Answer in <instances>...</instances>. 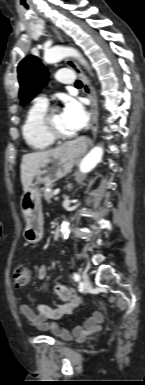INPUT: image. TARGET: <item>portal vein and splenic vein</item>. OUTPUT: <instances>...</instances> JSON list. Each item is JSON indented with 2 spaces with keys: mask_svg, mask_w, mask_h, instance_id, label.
Listing matches in <instances>:
<instances>
[{
  "mask_svg": "<svg viewBox=\"0 0 145 385\" xmlns=\"http://www.w3.org/2000/svg\"><path fill=\"white\" fill-rule=\"evenodd\" d=\"M59 192H60V189H56V190H54L53 195L57 196L59 194Z\"/></svg>",
  "mask_w": 145,
  "mask_h": 385,
  "instance_id": "18ae733b",
  "label": "portal vein and splenic vein"
}]
</instances>
